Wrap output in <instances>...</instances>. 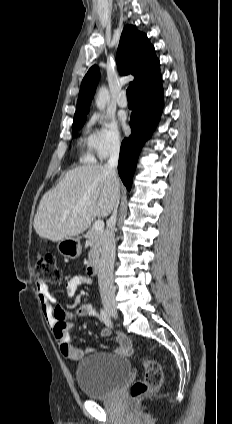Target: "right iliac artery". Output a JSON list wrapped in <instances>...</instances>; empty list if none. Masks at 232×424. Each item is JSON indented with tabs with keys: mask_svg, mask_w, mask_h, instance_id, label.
Here are the masks:
<instances>
[{
	"mask_svg": "<svg viewBox=\"0 0 232 424\" xmlns=\"http://www.w3.org/2000/svg\"><path fill=\"white\" fill-rule=\"evenodd\" d=\"M100 316L102 321L105 323V325L111 328L112 322H111L110 316L107 314V312L104 309H101Z\"/></svg>",
	"mask_w": 232,
	"mask_h": 424,
	"instance_id": "82829eb1",
	"label": "right iliac artery"
}]
</instances>
